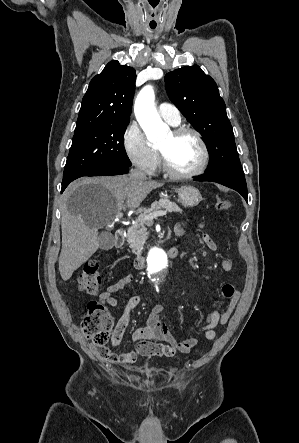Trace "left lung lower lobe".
Returning <instances> with one entry per match:
<instances>
[{
    "label": "left lung lower lobe",
    "mask_w": 299,
    "mask_h": 443,
    "mask_svg": "<svg viewBox=\"0 0 299 443\" xmlns=\"http://www.w3.org/2000/svg\"><path fill=\"white\" fill-rule=\"evenodd\" d=\"M196 181H212L232 188L239 192L247 201V185L244 174L236 172H214L194 177Z\"/></svg>",
    "instance_id": "left-lung-lower-lobe-1"
}]
</instances>
